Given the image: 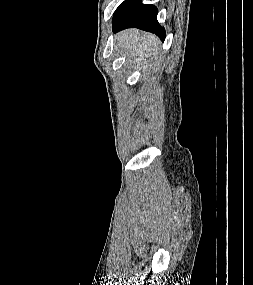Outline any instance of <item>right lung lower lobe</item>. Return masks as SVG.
I'll list each match as a JSON object with an SVG mask.
<instances>
[{
    "label": "right lung lower lobe",
    "instance_id": "right-lung-lower-lobe-1",
    "mask_svg": "<svg viewBox=\"0 0 253 285\" xmlns=\"http://www.w3.org/2000/svg\"><path fill=\"white\" fill-rule=\"evenodd\" d=\"M112 23L114 32L136 27L165 39V30L157 21V8L142 4L141 0H125L115 11Z\"/></svg>",
    "mask_w": 253,
    "mask_h": 285
}]
</instances>
